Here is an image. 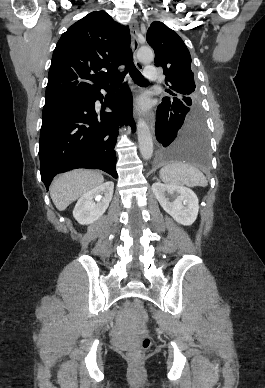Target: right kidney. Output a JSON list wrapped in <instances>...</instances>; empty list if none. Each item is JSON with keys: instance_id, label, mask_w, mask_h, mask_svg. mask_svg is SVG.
Listing matches in <instances>:
<instances>
[{"instance_id": "ca27d5eb", "label": "right kidney", "mask_w": 265, "mask_h": 388, "mask_svg": "<svg viewBox=\"0 0 265 388\" xmlns=\"http://www.w3.org/2000/svg\"><path fill=\"white\" fill-rule=\"evenodd\" d=\"M113 192V182H105L83 194L73 210V216L78 224L82 226L93 224L98 218H101L113 198Z\"/></svg>"}]
</instances>
